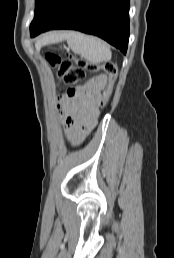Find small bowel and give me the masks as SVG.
I'll return each mask as SVG.
<instances>
[{
	"label": "small bowel",
	"instance_id": "1",
	"mask_svg": "<svg viewBox=\"0 0 174 258\" xmlns=\"http://www.w3.org/2000/svg\"><path fill=\"white\" fill-rule=\"evenodd\" d=\"M108 85L106 75L100 74L91 78L77 92L75 98L67 93L62 94L58 101L67 135L74 143H81L85 134L93 129L97 123L103 96L101 89Z\"/></svg>",
	"mask_w": 174,
	"mask_h": 258
}]
</instances>
